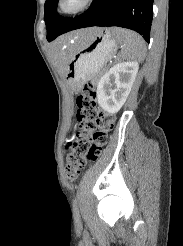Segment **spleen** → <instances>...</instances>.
<instances>
[{
	"label": "spleen",
	"mask_w": 183,
	"mask_h": 246,
	"mask_svg": "<svg viewBox=\"0 0 183 246\" xmlns=\"http://www.w3.org/2000/svg\"><path fill=\"white\" fill-rule=\"evenodd\" d=\"M114 36L118 44L122 45V56L127 59L143 61L146 53V45L143 38L128 29L115 28Z\"/></svg>",
	"instance_id": "3e777b00"
}]
</instances>
